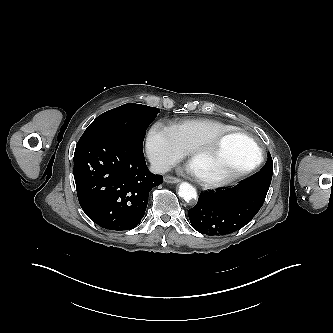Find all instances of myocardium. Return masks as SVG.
I'll list each match as a JSON object with an SVG mask.
<instances>
[{"instance_id":"obj_1","label":"myocardium","mask_w":333,"mask_h":333,"mask_svg":"<svg viewBox=\"0 0 333 333\" xmlns=\"http://www.w3.org/2000/svg\"><path fill=\"white\" fill-rule=\"evenodd\" d=\"M231 135H243L247 139H249L256 148L255 159L249 165L221 177H205L195 173L196 179L203 186L209 188H216L228 185L238 180L239 178L249 174L261 163L263 157V150L260 143L251 134L241 128H231L229 130L220 132L210 137L209 139L195 145L189 150L190 162L200 155L210 153L224 138Z\"/></svg>"}]
</instances>
